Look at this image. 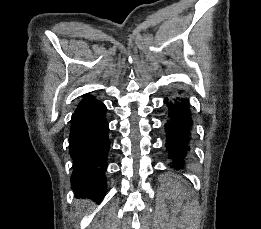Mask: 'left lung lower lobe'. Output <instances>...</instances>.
<instances>
[{
    "mask_svg": "<svg viewBox=\"0 0 261 229\" xmlns=\"http://www.w3.org/2000/svg\"><path fill=\"white\" fill-rule=\"evenodd\" d=\"M164 102L167 103L169 108L167 122L165 123L168 159H172L169 166L174 170H181L190 154L192 120L189 104L187 100L168 102L167 98Z\"/></svg>",
    "mask_w": 261,
    "mask_h": 229,
    "instance_id": "1",
    "label": "left lung lower lobe"
}]
</instances>
